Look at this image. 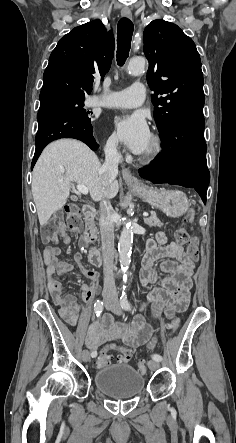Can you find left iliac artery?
<instances>
[{"instance_id":"obj_1","label":"left iliac artery","mask_w":236,"mask_h":443,"mask_svg":"<svg viewBox=\"0 0 236 443\" xmlns=\"http://www.w3.org/2000/svg\"><path fill=\"white\" fill-rule=\"evenodd\" d=\"M120 305L124 310H127V311L131 310V304H130L129 300L127 299L125 287H123V292H122V295L120 298ZM152 359L160 362L162 360V357L158 354H154V355H152Z\"/></svg>"}]
</instances>
